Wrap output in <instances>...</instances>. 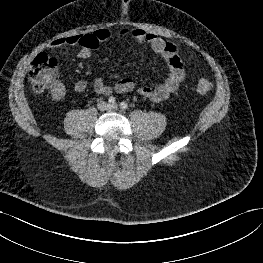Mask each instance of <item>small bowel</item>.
Returning <instances> with one entry per match:
<instances>
[{"mask_svg":"<svg viewBox=\"0 0 263 263\" xmlns=\"http://www.w3.org/2000/svg\"><path fill=\"white\" fill-rule=\"evenodd\" d=\"M118 35L133 41L137 45L147 44L152 51L160 55L167 63L169 73L164 82L155 86H144L136 88V84L131 78H123L117 81L114 87L107 85L103 79L97 78L93 83L97 94L108 96L113 93H129L136 90L140 95L152 100L153 102H162L173 94L185 78L183 63L179 56L177 47L168 41L163 40L155 34L146 32L142 29L122 28ZM113 33L108 29H99L88 34H76L62 37L54 40L49 45V50L56 51L64 46H79L81 48L78 56L82 59H88L91 51L98 48L99 44L111 39ZM88 83L85 80H79L74 85L76 93H82L86 90ZM66 90L61 83H56L51 89V95L56 100L64 98Z\"/></svg>","mask_w":263,"mask_h":263,"instance_id":"small-bowel-1","label":"small bowel"}]
</instances>
